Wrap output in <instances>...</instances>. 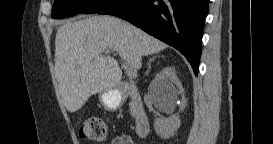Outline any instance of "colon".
Masks as SVG:
<instances>
[{"label": "colon", "instance_id": "obj_1", "mask_svg": "<svg viewBox=\"0 0 273 144\" xmlns=\"http://www.w3.org/2000/svg\"><path fill=\"white\" fill-rule=\"evenodd\" d=\"M79 134L83 139L101 142L106 137V125L99 117H88L82 122Z\"/></svg>", "mask_w": 273, "mask_h": 144}]
</instances>
